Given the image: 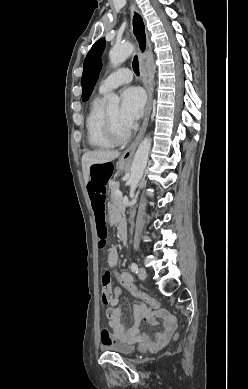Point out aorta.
<instances>
[{
	"label": "aorta",
	"mask_w": 248,
	"mask_h": 389,
	"mask_svg": "<svg viewBox=\"0 0 248 389\" xmlns=\"http://www.w3.org/2000/svg\"><path fill=\"white\" fill-rule=\"evenodd\" d=\"M134 50V46L131 43H123L113 47L109 52L110 63L113 67L119 66L123 63ZM119 97L115 94H110L108 97V107L116 109L119 107ZM151 149V139L145 137L137 148L134 155V159L131 166L130 177L128 184L130 186V193H134L139 181L141 180L144 170L146 168L149 152Z\"/></svg>",
	"instance_id": "762f6f07"
}]
</instances>
